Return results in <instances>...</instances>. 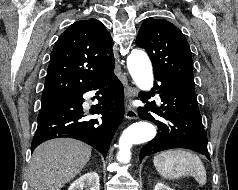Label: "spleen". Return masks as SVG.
Masks as SVG:
<instances>
[{
	"instance_id": "3e777b00",
	"label": "spleen",
	"mask_w": 238,
	"mask_h": 190,
	"mask_svg": "<svg viewBox=\"0 0 238 190\" xmlns=\"http://www.w3.org/2000/svg\"><path fill=\"white\" fill-rule=\"evenodd\" d=\"M154 166L164 178L174 180L193 176L199 185L206 184V170L201 159L194 153L182 149L168 150L154 156Z\"/></svg>"
}]
</instances>
